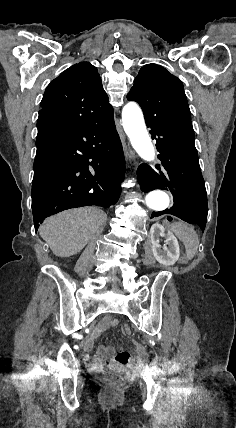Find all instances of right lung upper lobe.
<instances>
[{
	"instance_id": "1",
	"label": "right lung upper lobe",
	"mask_w": 236,
	"mask_h": 428,
	"mask_svg": "<svg viewBox=\"0 0 236 428\" xmlns=\"http://www.w3.org/2000/svg\"><path fill=\"white\" fill-rule=\"evenodd\" d=\"M112 113L96 67L80 62L46 88L37 121V140L88 125Z\"/></svg>"
}]
</instances>
